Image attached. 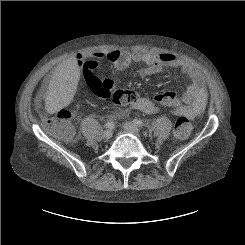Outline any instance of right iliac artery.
I'll use <instances>...</instances> for the list:
<instances>
[{
	"label": "right iliac artery",
	"mask_w": 245,
	"mask_h": 245,
	"mask_svg": "<svg viewBox=\"0 0 245 245\" xmlns=\"http://www.w3.org/2000/svg\"><path fill=\"white\" fill-rule=\"evenodd\" d=\"M106 127L111 129L114 127V123L113 122H107Z\"/></svg>",
	"instance_id": "82829eb1"
}]
</instances>
